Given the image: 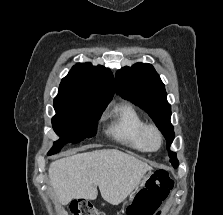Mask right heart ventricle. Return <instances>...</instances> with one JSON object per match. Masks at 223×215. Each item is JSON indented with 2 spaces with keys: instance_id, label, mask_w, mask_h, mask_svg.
<instances>
[{
  "instance_id": "e07e8e85",
  "label": "right heart ventricle",
  "mask_w": 223,
  "mask_h": 215,
  "mask_svg": "<svg viewBox=\"0 0 223 215\" xmlns=\"http://www.w3.org/2000/svg\"><path fill=\"white\" fill-rule=\"evenodd\" d=\"M145 122L129 104H123L112 112L109 134L120 144L139 152L144 151L142 131Z\"/></svg>"
}]
</instances>
